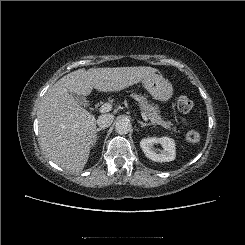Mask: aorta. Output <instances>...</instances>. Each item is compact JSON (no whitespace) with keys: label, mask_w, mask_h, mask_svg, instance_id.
Wrapping results in <instances>:
<instances>
[{"label":"aorta","mask_w":245,"mask_h":245,"mask_svg":"<svg viewBox=\"0 0 245 245\" xmlns=\"http://www.w3.org/2000/svg\"><path fill=\"white\" fill-rule=\"evenodd\" d=\"M115 130L118 134H127L131 130L130 121L127 119H119L115 124Z\"/></svg>","instance_id":"aorta-1"}]
</instances>
